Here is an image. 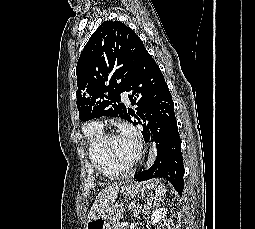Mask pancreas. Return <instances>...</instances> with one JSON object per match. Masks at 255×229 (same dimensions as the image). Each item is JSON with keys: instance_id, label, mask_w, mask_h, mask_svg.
Returning <instances> with one entry per match:
<instances>
[{"instance_id": "obj_1", "label": "pancreas", "mask_w": 255, "mask_h": 229, "mask_svg": "<svg viewBox=\"0 0 255 229\" xmlns=\"http://www.w3.org/2000/svg\"><path fill=\"white\" fill-rule=\"evenodd\" d=\"M114 229H128L127 226H121L119 223H116Z\"/></svg>"}]
</instances>
